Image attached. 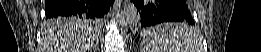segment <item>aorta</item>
<instances>
[{"mask_svg": "<svg viewBox=\"0 0 261 52\" xmlns=\"http://www.w3.org/2000/svg\"><path fill=\"white\" fill-rule=\"evenodd\" d=\"M139 19L136 5L133 2L127 3L120 13V23L124 26H134Z\"/></svg>", "mask_w": 261, "mask_h": 52, "instance_id": "762f6f07", "label": "aorta"}]
</instances>
